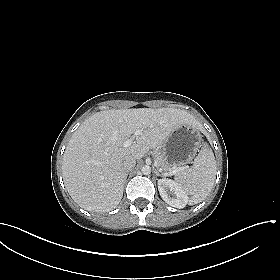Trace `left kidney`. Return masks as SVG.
<instances>
[{
  "mask_svg": "<svg viewBox=\"0 0 280 280\" xmlns=\"http://www.w3.org/2000/svg\"><path fill=\"white\" fill-rule=\"evenodd\" d=\"M158 190L161 198L170 206L184 208L188 202L185 191L171 179H159Z\"/></svg>",
  "mask_w": 280,
  "mask_h": 280,
  "instance_id": "5707ae66",
  "label": "left kidney"
}]
</instances>
